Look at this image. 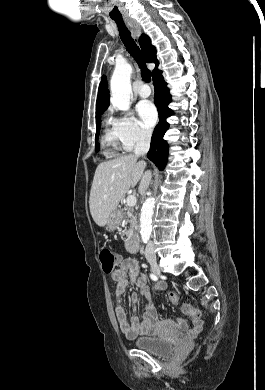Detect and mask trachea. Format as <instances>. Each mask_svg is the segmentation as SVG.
Instances as JSON below:
<instances>
[{
	"instance_id": "3493384b",
	"label": "trachea",
	"mask_w": 265,
	"mask_h": 390,
	"mask_svg": "<svg viewBox=\"0 0 265 390\" xmlns=\"http://www.w3.org/2000/svg\"><path fill=\"white\" fill-rule=\"evenodd\" d=\"M113 20L116 22L119 30V35L121 37V40L123 44L125 45L128 52L133 56L135 61L137 62L140 70H141V76L142 79L145 82H150L151 80V72L146 66V61L142 56V53L135 43V41L131 37L130 31L125 26V23L122 18H113Z\"/></svg>"
}]
</instances>
